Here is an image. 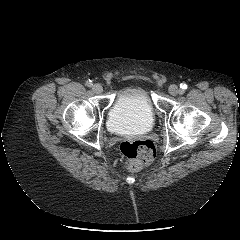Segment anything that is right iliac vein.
I'll return each mask as SVG.
<instances>
[{
  "label": "right iliac vein",
  "instance_id": "right-iliac-vein-1",
  "mask_svg": "<svg viewBox=\"0 0 240 240\" xmlns=\"http://www.w3.org/2000/svg\"><path fill=\"white\" fill-rule=\"evenodd\" d=\"M92 90L96 94H101L103 92V87L100 84H94L93 87H92Z\"/></svg>",
  "mask_w": 240,
  "mask_h": 240
}]
</instances>
